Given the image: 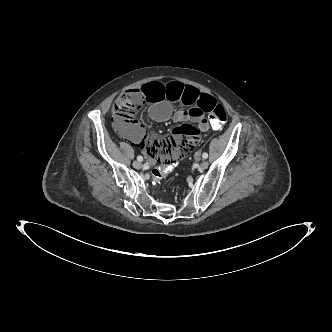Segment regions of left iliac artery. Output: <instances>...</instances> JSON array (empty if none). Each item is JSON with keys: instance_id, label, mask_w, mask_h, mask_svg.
Segmentation results:
<instances>
[{"instance_id": "44dca946", "label": "left iliac artery", "mask_w": 332, "mask_h": 332, "mask_svg": "<svg viewBox=\"0 0 332 332\" xmlns=\"http://www.w3.org/2000/svg\"><path fill=\"white\" fill-rule=\"evenodd\" d=\"M202 157H203L204 159L208 158V153L204 152V153L202 154Z\"/></svg>"}]
</instances>
